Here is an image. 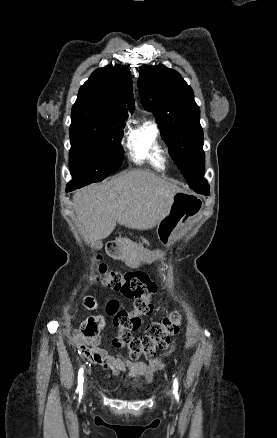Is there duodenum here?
<instances>
[{
	"label": "duodenum",
	"mask_w": 277,
	"mask_h": 438,
	"mask_svg": "<svg viewBox=\"0 0 277 438\" xmlns=\"http://www.w3.org/2000/svg\"><path fill=\"white\" fill-rule=\"evenodd\" d=\"M106 248L108 253L115 258L125 257L128 251V247L124 243L116 240L109 241Z\"/></svg>",
	"instance_id": "duodenum-1"
}]
</instances>
